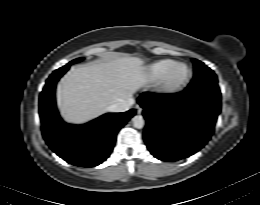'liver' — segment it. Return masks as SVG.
<instances>
[{
    "instance_id": "liver-1",
    "label": "liver",
    "mask_w": 260,
    "mask_h": 205,
    "mask_svg": "<svg viewBox=\"0 0 260 205\" xmlns=\"http://www.w3.org/2000/svg\"><path fill=\"white\" fill-rule=\"evenodd\" d=\"M144 62L129 55L73 67L57 87V103L68 123H86L110 105L129 100L147 82Z\"/></svg>"
}]
</instances>
